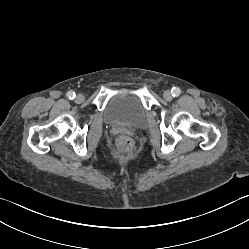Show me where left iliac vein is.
Segmentation results:
<instances>
[{
  "label": "left iliac vein",
  "mask_w": 249,
  "mask_h": 249,
  "mask_svg": "<svg viewBox=\"0 0 249 249\" xmlns=\"http://www.w3.org/2000/svg\"><path fill=\"white\" fill-rule=\"evenodd\" d=\"M163 97L167 101H171L173 99V95L170 91H165Z\"/></svg>",
  "instance_id": "obj_1"
}]
</instances>
